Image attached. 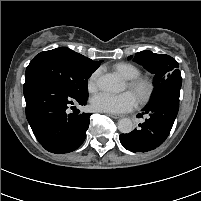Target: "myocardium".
<instances>
[{"label":"myocardium","mask_w":201,"mask_h":201,"mask_svg":"<svg viewBox=\"0 0 201 201\" xmlns=\"http://www.w3.org/2000/svg\"><path fill=\"white\" fill-rule=\"evenodd\" d=\"M128 88L135 94L139 103H147L152 97L154 85L145 77H137L128 81Z\"/></svg>","instance_id":"f54148a6"}]
</instances>
